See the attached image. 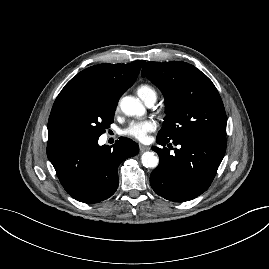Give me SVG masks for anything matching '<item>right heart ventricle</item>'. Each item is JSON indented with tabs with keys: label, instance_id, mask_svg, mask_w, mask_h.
<instances>
[{
	"label": "right heart ventricle",
	"instance_id": "right-heart-ventricle-1",
	"mask_svg": "<svg viewBox=\"0 0 269 269\" xmlns=\"http://www.w3.org/2000/svg\"><path fill=\"white\" fill-rule=\"evenodd\" d=\"M136 92L138 96L146 102L151 97H157L156 90L149 84H141L137 87Z\"/></svg>",
	"mask_w": 269,
	"mask_h": 269
}]
</instances>
